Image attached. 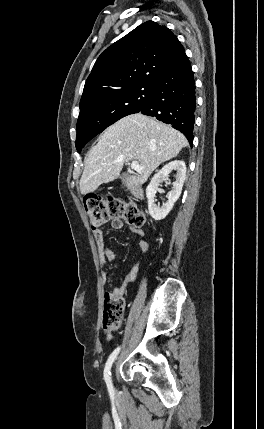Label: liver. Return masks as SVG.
<instances>
[{
	"instance_id": "6515ba94",
	"label": "liver",
	"mask_w": 264,
	"mask_h": 429,
	"mask_svg": "<svg viewBox=\"0 0 264 429\" xmlns=\"http://www.w3.org/2000/svg\"><path fill=\"white\" fill-rule=\"evenodd\" d=\"M187 145L185 136L170 125L141 113L128 115L109 126L90 150L80 179L81 194L116 179L129 161H138L144 169L128 177L126 186L144 184L160 164Z\"/></svg>"
}]
</instances>
